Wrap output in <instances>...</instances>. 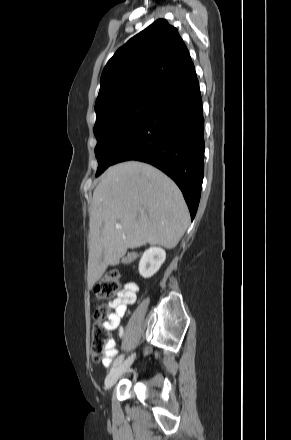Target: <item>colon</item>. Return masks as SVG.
Listing matches in <instances>:
<instances>
[{
    "label": "colon",
    "mask_w": 291,
    "mask_h": 440,
    "mask_svg": "<svg viewBox=\"0 0 291 440\" xmlns=\"http://www.w3.org/2000/svg\"><path fill=\"white\" fill-rule=\"evenodd\" d=\"M122 291L123 288L121 287L120 275L115 268L109 270L102 280L94 287V294L100 299L113 297ZM105 315V310L101 308L95 316L98 321L93 325L91 330L90 353L95 361H104L108 354V329L99 322L105 317Z\"/></svg>",
    "instance_id": "obj_1"
}]
</instances>
